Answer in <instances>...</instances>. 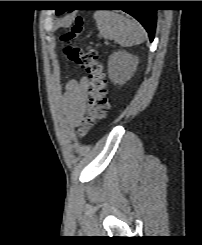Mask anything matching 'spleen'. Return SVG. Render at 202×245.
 <instances>
[{"label": "spleen", "mask_w": 202, "mask_h": 245, "mask_svg": "<svg viewBox=\"0 0 202 245\" xmlns=\"http://www.w3.org/2000/svg\"><path fill=\"white\" fill-rule=\"evenodd\" d=\"M97 27L101 35L114 40L122 47L140 44L145 40V31L135 20L110 11L94 13Z\"/></svg>", "instance_id": "3e777b00"}]
</instances>
